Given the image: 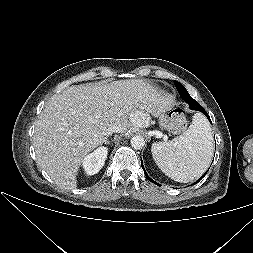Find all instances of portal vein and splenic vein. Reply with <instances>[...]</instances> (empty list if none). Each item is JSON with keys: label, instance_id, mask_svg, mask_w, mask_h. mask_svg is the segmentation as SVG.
<instances>
[{"label": "portal vein and splenic vein", "instance_id": "portal-vein-and-splenic-vein-1", "mask_svg": "<svg viewBox=\"0 0 253 253\" xmlns=\"http://www.w3.org/2000/svg\"><path fill=\"white\" fill-rule=\"evenodd\" d=\"M157 135H159V136H160V135H161V133H158Z\"/></svg>", "mask_w": 253, "mask_h": 253}]
</instances>
